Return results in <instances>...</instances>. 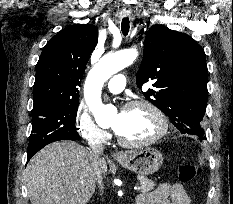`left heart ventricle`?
<instances>
[{
	"label": "left heart ventricle",
	"mask_w": 233,
	"mask_h": 204,
	"mask_svg": "<svg viewBox=\"0 0 233 204\" xmlns=\"http://www.w3.org/2000/svg\"><path fill=\"white\" fill-rule=\"evenodd\" d=\"M112 128L124 139L130 141L146 140L159 130V121L146 107L125 109L112 118Z\"/></svg>",
	"instance_id": "b2bd125f"
}]
</instances>
